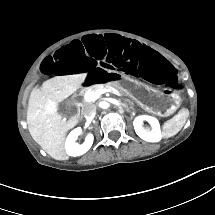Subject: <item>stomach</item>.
<instances>
[{"label":"stomach","mask_w":215,"mask_h":215,"mask_svg":"<svg viewBox=\"0 0 215 215\" xmlns=\"http://www.w3.org/2000/svg\"><path fill=\"white\" fill-rule=\"evenodd\" d=\"M120 88L140 105L149 107L156 112L167 114L174 111L180 104L177 93L150 90L134 81H127Z\"/></svg>","instance_id":"stomach-1"}]
</instances>
